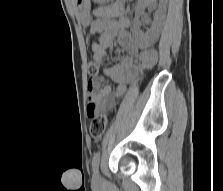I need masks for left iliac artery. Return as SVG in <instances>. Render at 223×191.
Masks as SVG:
<instances>
[{
    "label": "left iliac artery",
    "instance_id": "left-iliac-artery-1",
    "mask_svg": "<svg viewBox=\"0 0 223 191\" xmlns=\"http://www.w3.org/2000/svg\"><path fill=\"white\" fill-rule=\"evenodd\" d=\"M99 161H100V152L97 151V152L94 153L93 158H92V167H93V169L98 168Z\"/></svg>",
    "mask_w": 223,
    "mask_h": 191
}]
</instances>
